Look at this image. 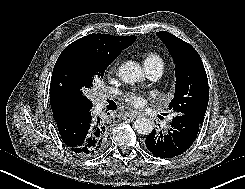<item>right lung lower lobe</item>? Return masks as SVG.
I'll return each instance as SVG.
<instances>
[{
  "mask_svg": "<svg viewBox=\"0 0 245 189\" xmlns=\"http://www.w3.org/2000/svg\"><path fill=\"white\" fill-rule=\"evenodd\" d=\"M91 106L75 110L56 119L63 142L75 153L94 155L100 152L109 138L112 121L94 118Z\"/></svg>",
  "mask_w": 245,
  "mask_h": 189,
  "instance_id": "98d812e1",
  "label": "right lung lower lobe"
}]
</instances>
